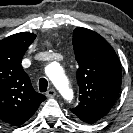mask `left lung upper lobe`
Masks as SVG:
<instances>
[{
  "instance_id": "left-lung-upper-lobe-1",
  "label": "left lung upper lobe",
  "mask_w": 133,
  "mask_h": 133,
  "mask_svg": "<svg viewBox=\"0 0 133 133\" xmlns=\"http://www.w3.org/2000/svg\"><path fill=\"white\" fill-rule=\"evenodd\" d=\"M73 48L79 64L80 103L71 112L84 122L94 123L110 111L119 95L120 62L111 45L90 29L74 30Z\"/></svg>"
}]
</instances>
